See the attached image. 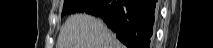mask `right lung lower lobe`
I'll list each match as a JSON object with an SVG mask.
<instances>
[{"instance_id": "98d812e1", "label": "right lung lower lobe", "mask_w": 213, "mask_h": 48, "mask_svg": "<svg viewBox=\"0 0 213 48\" xmlns=\"http://www.w3.org/2000/svg\"><path fill=\"white\" fill-rule=\"evenodd\" d=\"M157 0H91L83 12L100 17L129 48H149Z\"/></svg>"}]
</instances>
